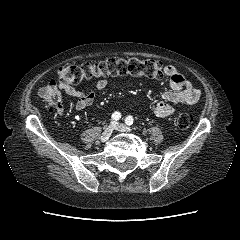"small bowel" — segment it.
Returning <instances> with one entry per match:
<instances>
[{
    "label": "small bowel",
    "mask_w": 240,
    "mask_h": 240,
    "mask_svg": "<svg viewBox=\"0 0 240 240\" xmlns=\"http://www.w3.org/2000/svg\"><path fill=\"white\" fill-rule=\"evenodd\" d=\"M165 74L169 79L170 90L162 95V100L153 106V114L158 119H164L175 112L178 105H192L196 103L201 92L180 73L176 67L168 65L165 67ZM108 87L106 79L98 80L95 85L87 90H78L74 86H59L68 96L76 98L75 110L80 112L90 107L98 92ZM64 109L58 111L63 113Z\"/></svg>",
    "instance_id": "c3829d8e"
}]
</instances>
